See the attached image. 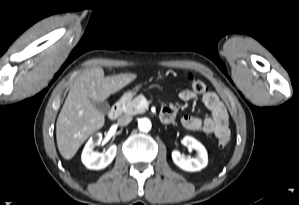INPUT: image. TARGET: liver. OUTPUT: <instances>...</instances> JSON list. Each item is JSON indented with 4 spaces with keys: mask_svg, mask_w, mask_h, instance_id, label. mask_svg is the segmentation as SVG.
I'll return each instance as SVG.
<instances>
[{
    "mask_svg": "<svg viewBox=\"0 0 299 205\" xmlns=\"http://www.w3.org/2000/svg\"><path fill=\"white\" fill-rule=\"evenodd\" d=\"M136 77L134 73L105 77L101 67H93L75 80L56 123L57 146L64 159L73 158L84 141L103 127L104 114L93 102L105 101Z\"/></svg>",
    "mask_w": 299,
    "mask_h": 205,
    "instance_id": "6515ba94",
    "label": "liver"
}]
</instances>
